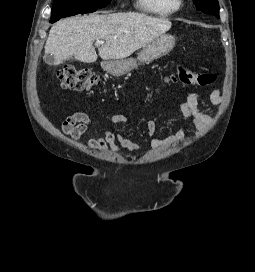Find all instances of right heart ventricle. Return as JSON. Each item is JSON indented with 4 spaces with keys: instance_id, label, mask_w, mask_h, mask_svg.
<instances>
[{
    "instance_id": "1",
    "label": "right heart ventricle",
    "mask_w": 255,
    "mask_h": 272,
    "mask_svg": "<svg viewBox=\"0 0 255 272\" xmlns=\"http://www.w3.org/2000/svg\"><path fill=\"white\" fill-rule=\"evenodd\" d=\"M136 6L144 13L157 16L172 15L180 8L174 0H136Z\"/></svg>"
}]
</instances>
